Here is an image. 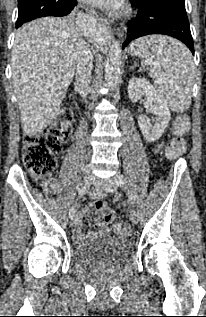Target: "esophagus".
Masks as SVG:
<instances>
[{"label":"esophagus","instance_id":"34e87169","mask_svg":"<svg viewBox=\"0 0 206 317\" xmlns=\"http://www.w3.org/2000/svg\"><path fill=\"white\" fill-rule=\"evenodd\" d=\"M97 37L98 38L95 39L98 41H108L113 38V33L107 23H104L103 21L100 22Z\"/></svg>","mask_w":206,"mask_h":317}]
</instances>
